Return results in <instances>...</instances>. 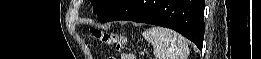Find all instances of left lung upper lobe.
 I'll return each instance as SVG.
<instances>
[{"instance_id": "5c2ea615", "label": "left lung upper lobe", "mask_w": 261, "mask_h": 59, "mask_svg": "<svg viewBox=\"0 0 261 59\" xmlns=\"http://www.w3.org/2000/svg\"><path fill=\"white\" fill-rule=\"evenodd\" d=\"M94 7L93 12L99 17L113 8L120 0H90ZM98 17V18H99Z\"/></svg>"}]
</instances>
